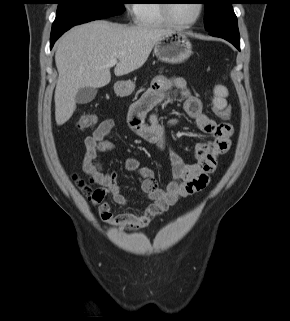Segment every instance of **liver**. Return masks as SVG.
<instances>
[{"instance_id":"liver-1","label":"liver","mask_w":290,"mask_h":321,"mask_svg":"<svg viewBox=\"0 0 290 321\" xmlns=\"http://www.w3.org/2000/svg\"><path fill=\"white\" fill-rule=\"evenodd\" d=\"M172 32L149 25L126 26L104 20L73 27L56 44L55 63L59 73L55 89V120L63 125L76 108L80 88H101L111 81L110 60L118 63L119 77L139 69L155 44Z\"/></svg>"}]
</instances>
